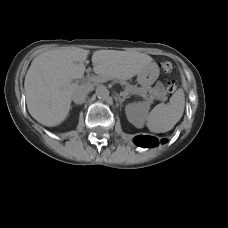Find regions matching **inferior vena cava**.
<instances>
[{"label":"inferior vena cava","instance_id":"1","mask_svg":"<svg viewBox=\"0 0 228 228\" xmlns=\"http://www.w3.org/2000/svg\"><path fill=\"white\" fill-rule=\"evenodd\" d=\"M90 92V88L85 86H78L72 92V100L76 104H83L86 100L88 93Z\"/></svg>","mask_w":228,"mask_h":228}]
</instances>
